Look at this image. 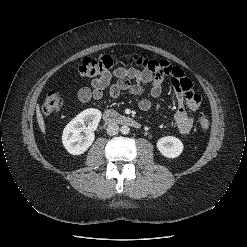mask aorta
Returning a JSON list of instances; mask_svg holds the SVG:
<instances>
[{"label": "aorta", "mask_w": 247, "mask_h": 247, "mask_svg": "<svg viewBox=\"0 0 247 247\" xmlns=\"http://www.w3.org/2000/svg\"><path fill=\"white\" fill-rule=\"evenodd\" d=\"M120 131L123 135H127L130 132V128L128 126L124 125L121 127Z\"/></svg>", "instance_id": "obj_1"}]
</instances>
